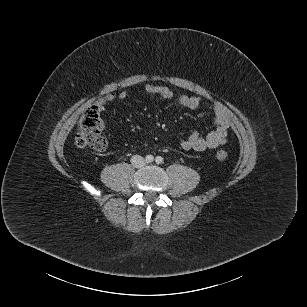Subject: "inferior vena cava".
<instances>
[{
    "label": "inferior vena cava",
    "instance_id": "obj_1",
    "mask_svg": "<svg viewBox=\"0 0 307 307\" xmlns=\"http://www.w3.org/2000/svg\"><path fill=\"white\" fill-rule=\"evenodd\" d=\"M131 165L136 168H140L145 165L144 159L140 156H133L131 158Z\"/></svg>",
    "mask_w": 307,
    "mask_h": 307
}]
</instances>
